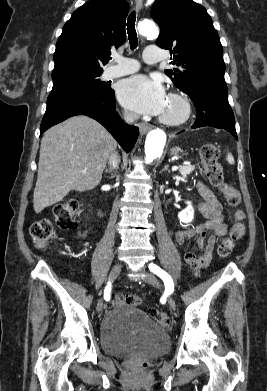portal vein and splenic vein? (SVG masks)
Returning <instances> with one entry per match:
<instances>
[{
    "mask_svg": "<svg viewBox=\"0 0 267 391\" xmlns=\"http://www.w3.org/2000/svg\"><path fill=\"white\" fill-rule=\"evenodd\" d=\"M184 164H189V163L186 162ZM86 171H87L86 169L82 170L83 173H85Z\"/></svg>",
    "mask_w": 267,
    "mask_h": 391,
    "instance_id": "portal-vein-and-splenic-vein-1",
    "label": "portal vein and splenic vein"
}]
</instances>
